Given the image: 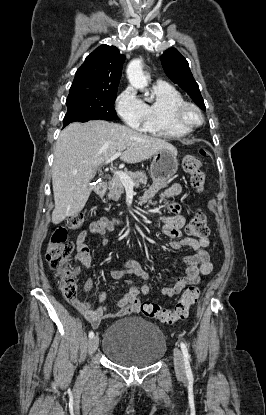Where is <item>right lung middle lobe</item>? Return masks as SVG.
Wrapping results in <instances>:
<instances>
[{
	"mask_svg": "<svg viewBox=\"0 0 266 415\" xmlns=\"http://www.w3.org/2000/svg\"><path fill=\"white\" fill-rule=\"evenodd\" d=\"M117 91L112 92H70L66 101L67 113L63 124L87 122L89 120H116L114 109Z\"/></svg>",
	"mask_w": 266,
	"mask_h": 415,
	"instance_id": "right-lung-middle-lobe-1",
	"label": "right lung middle lobe"
}]
</instances>
